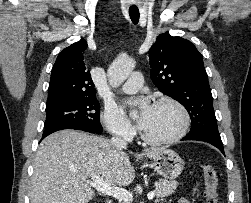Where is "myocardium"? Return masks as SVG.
<instances>
[{
  "label": "myocardium",
  "instance_id": "myocardium-1",
  "mask_svg": "<svg viewBox=\"0 0 251 203\" xmlns=\"http://www.w3.org/2000/svg\"><path fill=\"white\" fill-rule=\"evenodd\" d=\"M166 104L174 106L180 112L181 117H182L181 126L174 135L168 138H164V139L150 138L141 130L140 131L141 139L149 145L162 146V145L173 144L179 141L180 139H182L186 135L189 129L190 121H191L190 114L188 110L186 109V107L178 100L174 98H170V97H165V98H161L155 101L153 106H160V105H166Z\"/></svg>",
  "mask_w": 251,
  "mask_h": 203
}]
</instances>
